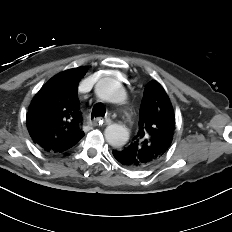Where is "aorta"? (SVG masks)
<instances>
[{
	"label": "aorta",
	"instance_id": "762f6f07",
	"mask_svg": "<svg viewBox=\"0 0 232 232\" xmlns=\"http://www.w3.org/2000/svg\"><path fill=\"white\" fill-rule=\"evenodd\" d=\"M96 95L103 101L110 103H123L126 92L123 86L113 78H103L95 86ZM105 139L113 147H121L129 140L128 130L118 124L109 125L105 129Z\"/></svg>",
	"mask_w": 232,
	"mask_h": 232
}]
</instances>
